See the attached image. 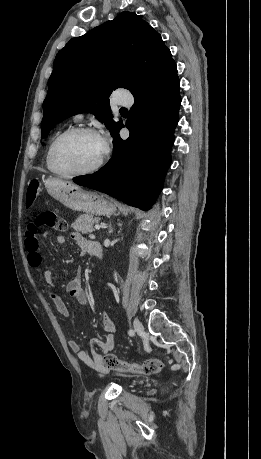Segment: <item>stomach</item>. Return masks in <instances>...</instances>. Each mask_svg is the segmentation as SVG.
<instances>
[{
    "label": "stomach",
    "instance_id": "1",
    "mask_svg": "<svg viewBox=\"0 0 261 459\" xmlns=\"http://www.w3.org/2000/svg\"><path fill=\"white\" fill-rule=\"evenodd\" d=\"M45 186L54 199L73 211L107 216L116 211V205L103 195L83 190L72 182L48 178Z\"/></svg>",
    "mask_w": 261,
    "mask_h": 459
}]
</instances>
